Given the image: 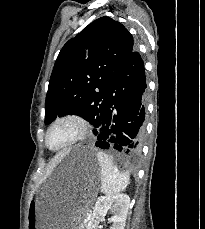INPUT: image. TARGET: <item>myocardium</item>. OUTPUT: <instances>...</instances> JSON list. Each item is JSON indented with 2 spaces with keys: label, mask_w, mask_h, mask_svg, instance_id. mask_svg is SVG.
I'll return each mask as SVG.
<instances>
[{
  "label": "myocardium",
  "mask_w": 205,
  "mask_h": 229,
  "mask_svg": "<svg viewBox=\"0 0 205 229\" xmlns=\"http://www.w3.org/2000/svg\"><path fill=\"white\" fill-rule=\"evenodd\" d=\"M64 123H68L74 126L75 128L74 135L64 144L58 147H51L49 145V136L51 132L53 131L55 127H57L60 124H64ZM88 131H89V122L84 116L77 114V113H67V114L57 117L48 126L45 132V136H44V144L51 151H54V152L61 151L83 140L86 137V135L88 134Z\"/></svg>",
  "instance_id": "obj_1"
}]
</instances>
